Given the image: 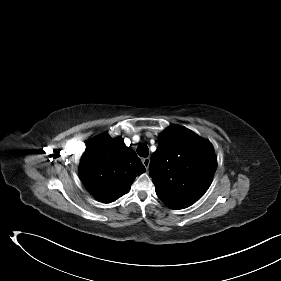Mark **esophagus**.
Masks as SVG:
<instances>
[{
  "instance_id": "obj_1",
  "label": "esophagus",
  "mask_w": 281,
  "mask_h": 281,
  "mask_svg": "<svg viewBox=\"0 0 281 281\" xmlns=\"http://www.w3.org/2000/svg\"><path fill=\"white\" fill-rule=\"evenodd\" d=\"M142 163L145 166V168L148 170L149 165H150V158L147 157V158L142 159Z\"/></svg>"
}]
</instances>
